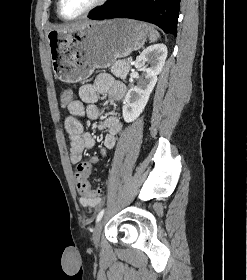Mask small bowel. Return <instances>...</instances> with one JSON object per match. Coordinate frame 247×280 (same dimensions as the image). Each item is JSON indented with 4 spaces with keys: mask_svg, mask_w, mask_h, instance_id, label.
I'll use <instances>...</instances> for the list:
<instances>
[{
    "mask_svg": "<svg viewBox=\"0 0 247 280\" xmlns=\"http://www.w3.org/2000/svg\"><path fill=\"white\" fill-rule=\"evenodd\" d=\"M126 92L125 85L107 73L98 74L93 83L83 84L79 88L80 100H74L68 105L69 116L64 121L65 130L69 136L71 163H82L83 152L95 146V140L90 133L84 132L82 118L98 120L97 128L106 133L101 156L105 157L108 150L114 148L117 135L122 129L120 119L115 115L103 116L102 110L97 106L100 95H107L111 101H120ZM81 203L87 208L99 205L100 198L81 196Z\"/></svg>",
    "mask_w": 247,
    "mask_h": 280,
    "instance_id": "1",
    "label": "small bowel"
}]
</instances>
